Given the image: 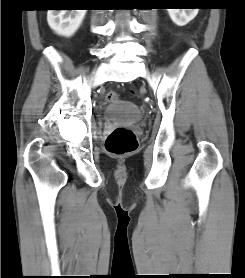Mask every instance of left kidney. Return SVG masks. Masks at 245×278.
Instances as JSON below:
<instances>
[{
	"label": "left kidney",
	"instance_id": "obj_1",
	"mask_svg": "<svg viewBox=\"0 0 245 278\" xmlns=\"http://www.w3.org/2000/svg\"><path fill=\"white\" fill-rule=\"evenodd\" d=\"M198 8L193 9H167L170 18L178 26H184L198 14Z\"/></svg>",
	"mask_w": 245,
	"mask_h": 278
}]
</instances>
